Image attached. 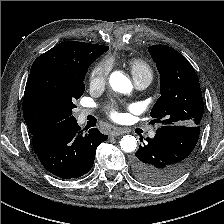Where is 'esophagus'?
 Segmentation results:
<instances>
[{"instance_id": "1", "label": "esophagus", "mask_w": 224, "mask_h": 224, "mask_svg": "<svg viewBox=\"0 0 224 224\" xmlns=\"http://www.w3.org/2000/svg\"><path fill=\"white\" fill-rule=\"evenodd\" d=\"M124 133L125 131L122 129H114L113 131L110 132V136L117 137V136L123 135Z\"/></svg>"}]
</instances>
